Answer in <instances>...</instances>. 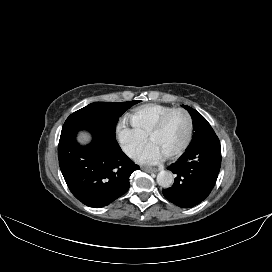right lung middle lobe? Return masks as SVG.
<instances>
[{
	"label": "right lung middle lobe",
	"mask_w": 272,
	"mask_h": 272,
	"mask_svg": "<svg viewBox=\"0 0 272 272\" xmlns=\"http://www.w3.org/2000/svg\"><path fill=\"white\" fill-rule=\"evenodd\" d=\"M140 101L120 103L95 102L71 114L64 125L80 124L98 128L115 137L116 124L119 117L131 106Z\"/></svg>",
	"instance_id": "right-lung-middle-lobe-1"
}]
</instances>
